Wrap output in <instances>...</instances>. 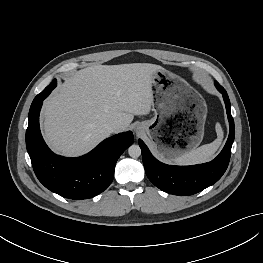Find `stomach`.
<instances>
[{"mask_svg": "<svg viewBox=\"0 0 263 263\" xmlns=\"http://www.w3.org/2000/svg\"><path fill=\"white\" fill-rule=\"evenodd\" d=\"M152 86L155 115L141 122L139 130L146 133L159 158L172 161L202 142L207 106L198 91L164 68L153 73Z\"/></svg>", "mask_w": 263, "mask_h": 263, "instance_id": "obj_1", "label": "stomach"}]
</instances>
